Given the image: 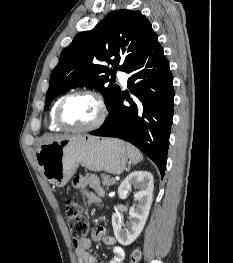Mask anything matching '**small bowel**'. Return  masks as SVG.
Listing matches in <instances>:
<instances>
[{
	"label": "small bowel",
	"instance_id": "obj_1",
	"mask_svg": "<svg viewBox=\"0 0 233 263\" xmlns=\"http://www.w3.org/2000/svg\"><path fill=\"white\" fill-rule=\"evenodd\" d=\"M73 186L83 193L84 198L90 205L97 204L104 193L99 178L92 174L77 176L73 181ZM98 241H102L109 246L113 253V257L108 263H125V250L117 245L116 239L110 236L103 226L93 230L91 239L86 238L76 244L75 253L78 263H98L97 258L90 253L92 242Z\"/></svg>",
	"mask_w": 233,
	"mask_h": 263
}]
</instances>
